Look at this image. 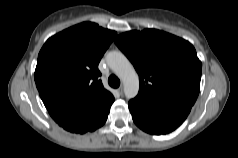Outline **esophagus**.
I'll return each instance as SVG.
<instances>
[{
    "instance_id": "esophagus-1",
    "label": "esophagus",
    "mask_w": 238,
    "mask_h": 158,
    "mask_svg": "<svg viewBox=\"0 0 238 158\" xmlns=\"http://www.w3.org/2000/svg\"><path fill=\"white\" fill-rule=\"evenodd\" d=\"M118 92H119L120 95H123V87H122V86H120V87L118 88Z\"/></svg>"
}]
</instances>
